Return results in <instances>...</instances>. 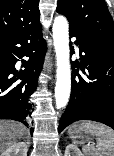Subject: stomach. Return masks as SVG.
I'll use <instances>...</instances> for the list:
<instances>
[{
	"label": "stomach",
	"mask_w": 114,
	"mask_h": 156,
	"mask_svg": "<svg viewBox=\"0 0 114 156\" xmlns=\"http://www.w3.org/2000/svg\"><path fill=\"white\" fill-rule=\"evenodd\" d=\"M68 134L74 143L86 144L91 143L94 133L86 132L82 128L81 124H75L68 129Z\"/></svg>",
	"instance_id": "stomach-1"
}]
</instances>
